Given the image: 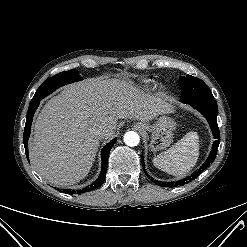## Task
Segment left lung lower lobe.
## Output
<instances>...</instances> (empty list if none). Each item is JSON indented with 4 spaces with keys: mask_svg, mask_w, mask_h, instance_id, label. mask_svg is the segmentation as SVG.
Returning a JSON list of instances; mask_svg holds the SVG:
<instances>
[{
    "mask_svg": "<svg viewBox=\"0 0 247 247\" xmlns=\"http://www.w3.org/2000/svg\"><path fill=\"white\" fill-rule=\"evenodd\" d=\"M185 104H189L198 111H200L205 118L207 119L211 130L213 132L214 138L216 139L213 143L212 150L210 152L209 157L207 160L203 163V165L196 171H194L190 176L187 178L180 180L178 182L174 183H166L162 182L160 185L171 187L173 185H184L188 182H191L195 178H197L214 160L218 151L219 146V139H220V132L217 125V103L214 99V97L206 98V99H196V100H189L183 102ZM143 157V156H142ZM142 165H144V160L142 159ZM146 173V172H145ZM156 182V181H155ZM158 183V182H157Z\"/></svg>",
    "mask_w": 247,
    "mask_h": 247,
    "instance_id": "0a47b994",
    "label": "left lung lower lobe"
}]
</instances>
